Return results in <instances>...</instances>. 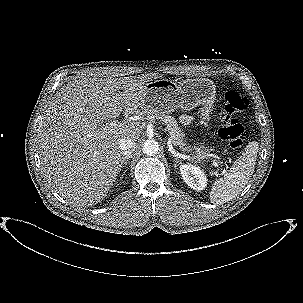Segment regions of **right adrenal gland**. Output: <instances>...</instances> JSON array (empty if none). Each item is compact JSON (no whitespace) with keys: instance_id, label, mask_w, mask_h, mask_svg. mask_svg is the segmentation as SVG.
Instances as JSON below:
<instances>
[{"instance_id":"right-adrenal-gland-1","label":"right adrenal gland","mask_w":303,"mask_h":303,"mask_svg":"<svg viewBox=\"0 0 303 303\" xmlns=\"http://www.w3.org/2000/svg\"><path fill=\"white\" fill-rule=\"evenodd\" d=\"M129 158H131L130 154L127 155V156L122 157L121 164H120V171H121V168L124 167V165H125V168H126L125 172L127 171V168H128L127 163H128Z\"/></svg>"}]
</instances>
